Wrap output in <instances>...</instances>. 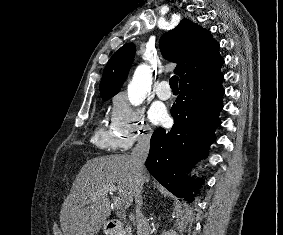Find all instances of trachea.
<instances>
[{
	"label": "trachea",
	"instance_id": "obj_1",
	"mask_svg": "<svg viewBox=\"0 0 283 235\" xmlns=\"http://www.w3.org/2000/svg\"><path fill=\"white\" fill-rule=\"evenodd\" d=\"M178 76H173L170 81H169V84H170V87L172 90H178Z\"/></svg>",
	"mask_w": 283,
	"mask_h": 235
}]
</instances>
